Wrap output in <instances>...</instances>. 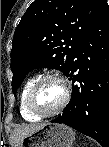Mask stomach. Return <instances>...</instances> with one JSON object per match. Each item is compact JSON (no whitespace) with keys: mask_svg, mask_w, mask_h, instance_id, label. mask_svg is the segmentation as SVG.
Listing matches in <instances>:
<instances>
[{"mask_svg":"<svg viewBox=\"0 0 109 147\" xmlns=\"http://www.w3.org/2000/svg\"><path fill=\"white\" fill-rule=\"evenodd\" d=\"M74 131L63 124H45L24 137L20 147H72Z\"/></svg>","mask_w":109,"mask_h":147,"instance_id":"1","label":"stomach"}]
</instances>
